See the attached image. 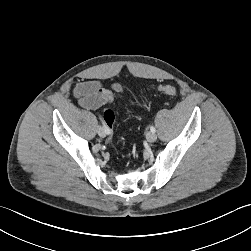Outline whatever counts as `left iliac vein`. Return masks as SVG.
<instances>
[{
  "instance_id": "left-iliac-vein-1",
  "label": "left iliac vein",
  "mask_w": 251,
  "mask_h": 251,
  "mask_svg": "<svg viewBox=\"0 0 251 251\" xmlns=\"http://www.w3.org/2000/svg\"><path fill=\"white\" fill-rule=\"evenodd\" d=\"M146 139H147L148 142H151V143L155 142L156 139H157V135L155 133H153V132H148L146 134Z\"/></svg>"
}]
</instances>
